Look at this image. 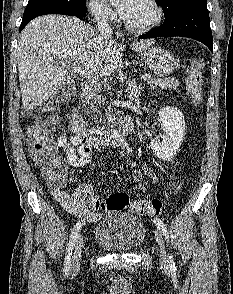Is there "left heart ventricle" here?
I'll list each match as a JSON object with an SVG mask.
<instances>
[{
    "mask_svg": "<svg viewBox=\"0 0 233 294\" xmlns=\"http://www.w3.org/2000/svg\"><path fill=\"white\" fill-rule=\"evenodd\" d=\"M153 18V10L145 0H139L133 11L125 18L131 25L140 26Z\"/></svg>",
    "mask_w": 233,
    "mask_h": 294,
    "instance_id": "b2bd125f",
    "label": "left heart ventricle"
}]
</instances>
